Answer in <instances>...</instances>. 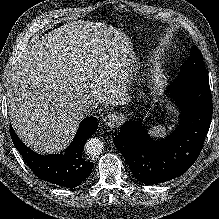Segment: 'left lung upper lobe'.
I'll use <instances>...</instances> for the list:
<instances>
[{"instance_id": "5c2ea615", "label": "left lung upper lobe", "mask_w": 219, "mask_h": 219, "mask_svg": "<svg viewBox=\"0 0 219 219\" xmlns=\"http://www.w3.org/2000/svg\"><path fill=\"white\" fill-rule=\"evenodd\" d=\"M180 75H199L208 77L202 54L196 46L191 48L190 57L181 66Z\"/></svg>"}]
</instances>
